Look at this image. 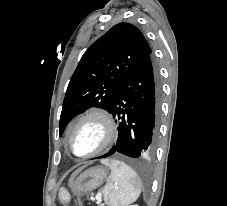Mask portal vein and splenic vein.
<instances>
[{"instance_id":"obj_1","label":"portal vein and splenic vein","mask_w":227,"mask_h":206,"mask_svg":"<svg viewBox=\"0 0 227 206\" xmlns=\"http://www.w3.org/2000/svg\"><path fill=\"white\" fill-rule=\"evenodd\" d=\"M96 199L101 201V197L100 196H96Z\"/></svg>"}]
</instances>
